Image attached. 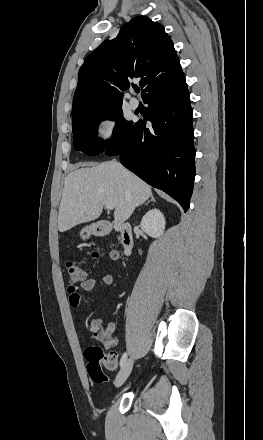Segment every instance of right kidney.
Masks as SVG:
<instances>
[{"label":"right kidney","instance_id":"ca27d5eb","mask_svg":"<svg viewBox=\"0 0 263 440\" xmlns=\"http://www.w3.org/2000/svg\"><path fill=\"white\" fill-rule=\"evenodd\" d=\"M141 229L153 238L161 237L165 229V219L158 209H151L142 218Z\"/></svg>","mask_w":263,"mask_h":440}]
</instances>
